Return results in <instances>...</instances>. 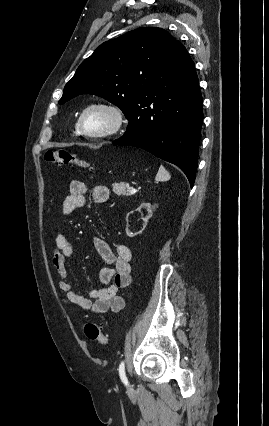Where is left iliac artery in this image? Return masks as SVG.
I'll return each mask as SVG.
<instances>
[{
  "label": "left iliac artery",
  "mask_w": 269,
  "mask_h": 426,
  "mask_svg": "<svg viewBox=\"0 0 269 426\" xmlns=\"http://www.w3.org/2000/svg\"><path fill=\"white\" fill-rule=\"evenodd\" d=\"M119 376H120V378H121V380H122V382L125 384V385H128V380H127V377H126V374H125V364H124V361H122L121 363H120V365H119Z\"/></svg>",
  "instance_id": "1"
}]
</instances>
